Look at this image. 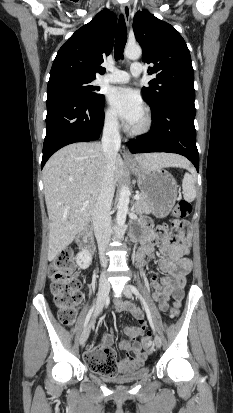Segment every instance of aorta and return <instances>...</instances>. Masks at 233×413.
I'll return each instance as SVG.
<instances>
[{
    "label": "aorta",
    "mask_w": 233,
    "mask_h": 413,
    "mask_svg": "<svg viewBox=\"0 0 233 413\" xmlns=\"http://www.w3.org/2000/svg\"><path fill=\"white\" fill-rule=\"evenodd\" d=\"M124 55L126 58L131 60H136L141 57L142 49L138 45L127 46L124 50ZM129 188L128 186L124 185L121 187V191L119 194L118 204H117V215L116 221L119 228H122L126 221V216L128 213V205H129Z\"/></svg>",
    "instance_id": "obj_1"
}]
</instances>
